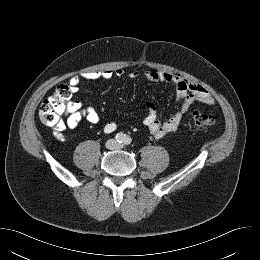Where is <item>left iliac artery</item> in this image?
Segmentation results:
<instances>
[{
  "instance_id": "44dca946",
  "label": "left iliac artery",
  "mask_w": 260,
  "mask_h": 260,
  "mask_svg": "<svg viewBox=\"0 0 260 260\" xmlns=\"http://www.w3.org/2000/svg\"><path fill=\"white\" fill-rule=\"evenodd\" d=\"M132 142V138L130 136H125L124 144L129 145Z\"/></svg>"
}]
</instances>
